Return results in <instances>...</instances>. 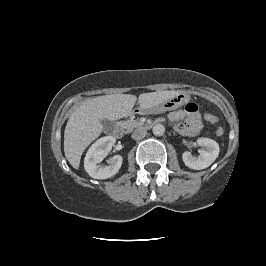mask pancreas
<instances>
[{
	"label": "pancreas",
	"instance_id": "1",
	"mask_svg": "<svg viewBox=\"0 0 266 266\" xmlns=\"http://www.w3.org/2000/svg\"><path fill=\"white\" fill-rule=\"evenodd\" d=\"M127 129L133 130L134 128L141 127L143 124L137 119H130L127 122Z\"/></svg>",
	"mask_w": 266,
	"mask_h": 266
}]
</instances>
